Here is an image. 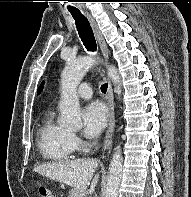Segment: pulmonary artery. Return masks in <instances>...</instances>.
Returning <instances> with one entry per match:
<instances>
[{
  "mask_svg": "<svg viewBox=\"0 0 191 197\" xmlns=\"http://www.w3.org/2000/svg\"><path fill=\"white\" fill-rule=\"evenodd\" d=\"M92 94V86L89 83L81 84L77 90V95L82 99H90Z\"/></svg>",
  "mask_w": 191,
  "mask_h": 197,
  "instance_id": "obj_1",
  "label": "pulmonary artery"
}]
</instances>
